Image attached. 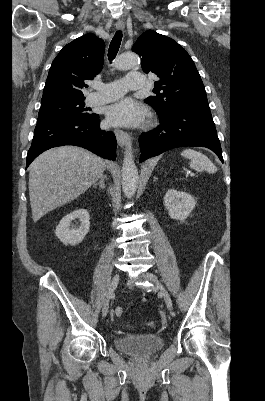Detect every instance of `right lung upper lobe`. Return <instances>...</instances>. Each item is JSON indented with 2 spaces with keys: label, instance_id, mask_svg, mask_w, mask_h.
<instances>
[{
  "label": "right lung upper lobe",
  "instance_id": "right-lung-upper-lobe-1",
  "mask_svg": "<svg viewBox=\"0 0 265 401\" xmlns=\"http://www.w3.org/2000/svg\"><path fill=\"white\" fill-rule=\"evenodd\" d=\"M104 50L103 40L92 33L67 44L50 67L41 104L84 98V81L92 80L101 71Z\"/></svg>",
  "mask_w": 265,
  "mask_h": 401
}]
</instances>
